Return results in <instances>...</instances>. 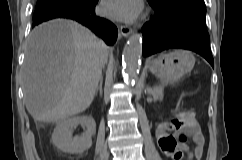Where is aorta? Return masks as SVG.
<instances>
[{"instance_id": "aorta-1", "label": "aorta", "mask_w": 242, "mask_h": 160, "mask_svg": "<svg viewBox=\"0 0 242 160\" xmlns=\"http://www.w3.org/2000/svg\"><path fill=\"white\" fill-rule=\"evenodd\" d=\"M142 54V37L138 33H133L126 46L123 55V68L128 79L134 80L139 71Z\"/></svg>"}]
</instances>
